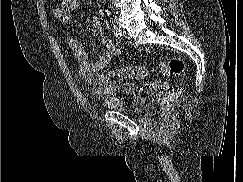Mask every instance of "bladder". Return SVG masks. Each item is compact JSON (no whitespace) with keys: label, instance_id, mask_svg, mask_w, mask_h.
I'll return each mask as SVG.
<instances>
[{"label":"bladder","instance_id":"1","mask_svg":"<svg viewBox=\"0 0 243 182\" xmlns=\"http://www.w3.org/2000/svg\"><path fill=\"white\" fill-rule=\"evenodd\" d=\"M145 100L136 93L125 96H111L103 100L102 106L108 111H116L127 114H140L145 108Z\"/></svg>","mask_w":243,"mask_h":182}]
</instances>
